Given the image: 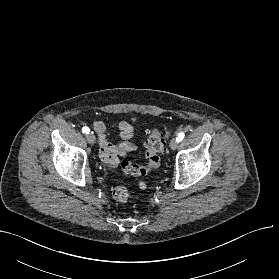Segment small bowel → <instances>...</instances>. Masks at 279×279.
I'll list each match as a JSON object with an SVG mask.
<instances>
[{"mask_svg": "<svg viewBox=\"0 0 279 279\" xmlns=\"http://www.w3.org/2000/svg\"><path fill=\"white\" fill-rule=\"evenodd\" d=\"M93 128L98 135L101 159L109 167H117L120 157L126 156L135 149V146L128 141L134 132V128L130 123L120 121L107 125L101 120H95ZM110 128L118 132L121 139L119 142L113 143L109 140L108 130Z\"/></svg>", "mask_w": 279, "mask_h": 279, "instance_id": "1", "label": "small bowel"}]
</instances>
